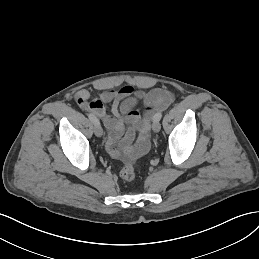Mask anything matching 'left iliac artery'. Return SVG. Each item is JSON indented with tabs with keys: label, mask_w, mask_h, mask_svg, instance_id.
I'll return each instance as SVG.
<instances>
[{
	"label": "left iliac artery",
	"mask_w": 259,
	"mask_h": 259,
	"mask_svg": "<svg viewBox=\"0 0 259 259\" xmlns=\"http://www.w3.org/2000/svg\"><path fill=\"white\" fill-rule=\"evenodd\" d=\"M161 118H162V113L161 112L156 113L153 118V121H160Z\"/></svg>",
	"instance_id": "1"
}]
</instances>
